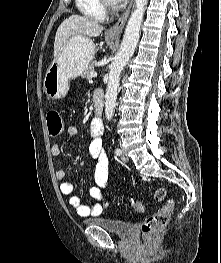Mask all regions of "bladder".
<instances>
[{
    "label": "bladder",
    "instance_id": "1",
    "mask_svg": "<svg viewBox=\"0 0 221 263\" xmlns=\"http://www.w3.org/2000/svg\"><path fill=\"white\" fill-rule=\"evenodd\" d=\"M87 224L100 226L110 232L120 236H127L134 228V223L122 219H107L100 217L89 218L85 221Z\"/></svg>",
    "mask_w": 221,
    "mask_h": 263
}]
</instances>
